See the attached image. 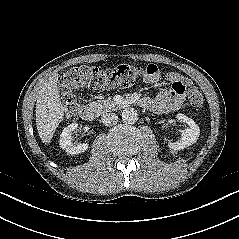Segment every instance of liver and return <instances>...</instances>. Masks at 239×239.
<instances>
[{"instance_id":"obj_1","label":"liver","mask_w":239,"mask_h":239,"mask_svg":"<svg viewBox=\"0 0 239 239\" xmlns=\"http://www.w3.org/2000/svg\"><path fill=\"white\" fill-rule=\"evenodd\" d=\"M58 73L44 83L36 102V127L43 143H50L55 130L64 117V108L57 89Z\"/></svg>"}]
</instances>
